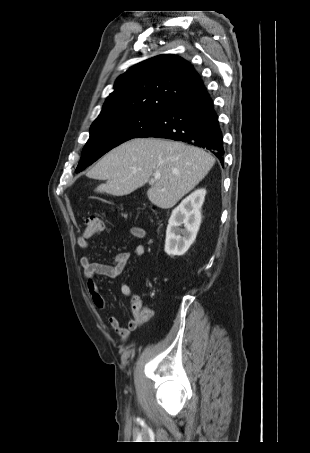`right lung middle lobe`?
<instances>
[{
    "instance_id": "right-lung-middle-lobe-1",
    "label": "right lung middle lobe",
    "mask_w": 310,
    "mask_h": 453,
    "mask_svg": "<svg viewBox=\"0 0 310 453\" xmlns=\"http://www.w3.org/2000/svg\"><path fill=\"white\" fill-rule=\"evenodd\" d=\"M161 113L124 112L96 119L90 127V138L83 148L76 172L82 171L119 144L138 137Z\"/></svg>"
}]
</instances>
